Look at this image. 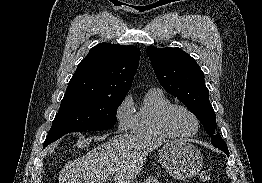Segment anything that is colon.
<instances>
[{
	"label": "colon",
	"mask_w": 262,
	"mask_h": 183,
	"mask_svg": "<svg viewBox=\"0 0 262 183\" xmlns=\"http://www.w3.org/2000/svg\"><path fill=\"white\" fill-rule=\"evenodd\" d=\"M199 180L202 182H208L211 179V171L210 170H202L199 173Z\"/></svg>",
	"instance_id": "obj_1"
}]
</instances>
